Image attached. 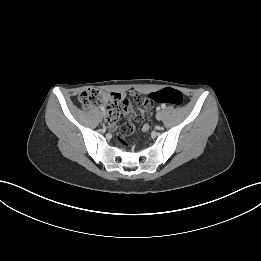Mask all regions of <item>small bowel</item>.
<instances>
[{
    "mask_svg": "<svg viewBox=\"0 0 261 261\" xmlns=\"http://www.w3.org/2000/svg\"><path fill=\"white\" fill-rule=\"evenodd\" d=\"M127 95L131 98V100L140 103V104H144L146 106V110H141L137 113H133V117H135L136 119H146L148 117L149 114V108L151 106V103H153V98L148 97L147 95H141L140 93H137L133 90L130 89L127 92ZM128 113H131V109H129ZM144 130L148 129V125H144L143 127Z\"/></svg>",
    "mask_w": 261,
    "mask_h": 261,
    "instance_id": "1",
    "label": "small bowel"
}]
</instances>
